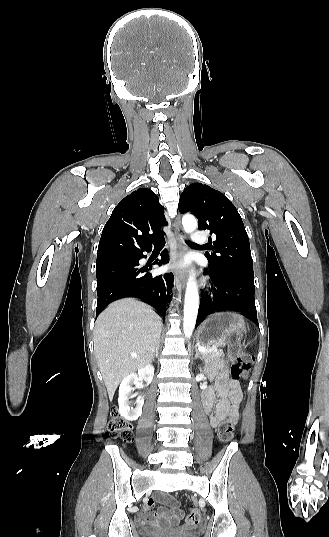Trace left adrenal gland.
Masks as SVG:
<instances>
[{
  "instance_id": "1",
  "label": "left adrenal gland",
  "mask_w": 329,
  "mask_h": 537,
  "mask_svg": "<svg viewBox=\"0 0 329 537\" xmlns=\"http://www.w3.org/2000/svg\"><path fill=\"white\" fill-rule=\"evenodd\" d=\"M195 351H196L195 358L200 357V359H203L202 356H201V353L199 352V350L197 349V347L195 348ZM200 369H201V368H200Z\"/></svg>"
}]
</instances>
